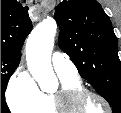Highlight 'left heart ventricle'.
<instances>
[{
  "mask_svg": "<svg viewBox=\"0 0 121 113\" xmlns=\"http://www.w3.org/2000/svg\"><path fill=\"white\" fill-rule=\"evenodd\" d=\"M90 113H105V107L97 98L89 96L83 100L80 108Z\"/></svg>",
  "mask_w": 121,
  "mask_h": 113,
  "instance_id": "left-heart-ventricle-1",
  "label": "left heart ventricle"
}]
</instances>
